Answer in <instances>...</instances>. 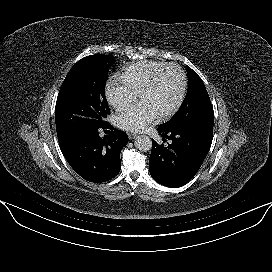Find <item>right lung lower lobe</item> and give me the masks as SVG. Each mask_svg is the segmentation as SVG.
<instances>
[{"label":"right lung lower lobe","instance_id":"right-lung-lower-lobe-1","mask_svg":"<svg viewBox=\"0 0 272 272\" xmlns=\"http://www.w3.org/2000/svg\"><path fill=\"white\" fill-rule=\"evenodd\" d=\"M101 129H113L110 135L99 136V129L87 131L72 139L62 150L70 166L87 181L101 183L115 177L121 169L120 152L126 146L125 132L107 124Z\"/></svg>","mask_w":272,"mask_h":272}]
</instances>
